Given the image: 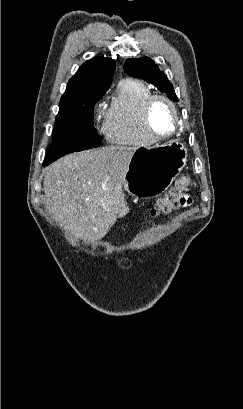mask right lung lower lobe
<instances>
[{
  "label": "right lung lower lobe",
  "instance_id": "98d812e1",
  "mask_svg": "<svg viewBox=\"0 0 243 409\" xmlns=\"http://www.w3.org/2000/svg\"><path fill=\"white\" fill-rule=\"evenodd\" d=\"M64 155H66V154L46 155V156H45V159H44V162H43V165H44V166H47V165H49L50 163L54 162L55 160L59 159L60 157H62V156H64Z\"/></svg>",
  "mask_w": 243,
  "mask_h": 409
}]
</instances>
